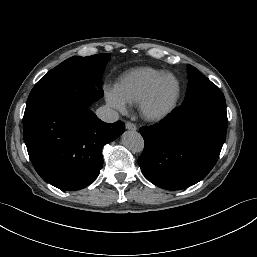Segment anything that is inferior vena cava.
<instances>
[{
	"mask_svg": "<svg viewBox=\"0 0 257 257\" xmlns=\"http://www.w3.org/2000/svg\"><path fill=\"white\" fill-rule=\"evenodd\" d=\"M96 115L99 119L107 123H113L119 120L118 112L108 106L98 108L96 110Z\"/></svg>",
	"mask_w": 257,
	"mask_h": 257,
	"instance_id": "1",
	"label": "inferior vena cava"
}]
</instances>
